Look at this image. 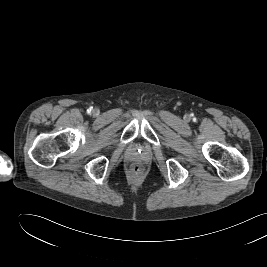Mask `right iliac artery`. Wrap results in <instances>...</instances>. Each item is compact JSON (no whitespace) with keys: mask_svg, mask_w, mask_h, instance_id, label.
Listing matches in <instances>:
<instances>
[{"mask_svg":"<svg viewBox=\"0 0 267 267\" xmlns=\"http://www.w3.org/2000/svg\"><path fill=\"white\" fill-rule=\"evenodd\" d=\"M93 110V107H89V109L87 110L88 113H91Z\"/></svg>","mask_w":267,"mask_h":267,"instance_id":"82829eb1","label":"right iliac artery"}]
</instances>
